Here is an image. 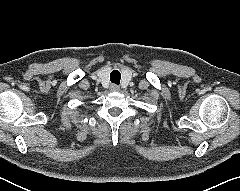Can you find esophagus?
I'll return each instance as SVG.
<instances>
[{
	"label": "esophagus",
	"instance_id": "obj_1",
	"mask_svg": "<svg viewBox=\"0 0 240 191\" xmlns=\"http://www.w3.org/2000/svg\"><path fill=\"white\" fill-rule=\"evenodd\" d=\"M110 90L116 92V91L120 90V87L118 85H116V84H112L110 86Z\"/></svg>",
	"mask_w": 240,
	"mask_h": 191
}]
</instances>
